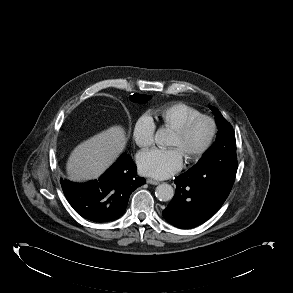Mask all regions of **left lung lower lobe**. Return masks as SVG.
Wrapping results in <instances>:
<instances>
[{
	"label": "left lung lower lobe",
	"mask_w": 293,
	"mask_h": 293,
	"mask_svg": "<svg viewBox=\"0 0 293 293\" xmlns=\"http://www.w3.org/2000/svg\"><path fill=\"white\" fill-rule=\"evenodd\" d=\"M237 162L218 167L196 168L175 179V196L163 211L171 224L189 229L196 227L215 214L233 186Z\"/></svg>",
	"instance_id": "0a47b994"
}]
</instances>
